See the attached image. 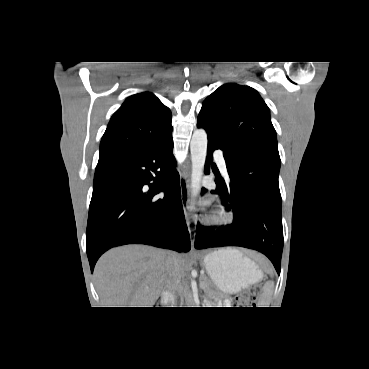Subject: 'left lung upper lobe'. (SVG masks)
<instances>
[{
    "mask_svg": "<svg viewBox=\"0 0 369 369\" xmlns=\"http://www.w3.org/2000/svg\"><path fill=\"white\" fill-rule=\"evenodd\" d=\"M197 123L231 159V175L262 181L279 190L280 156L269 108L249 86H220L202 104Z\"/></svg>",
    "mask_w": 369,
    "mask_h": 369,
    "instance_id": "left-lung-upper-lobe-1",
    "label": "left lung upper lobe"
}]
</instances>
